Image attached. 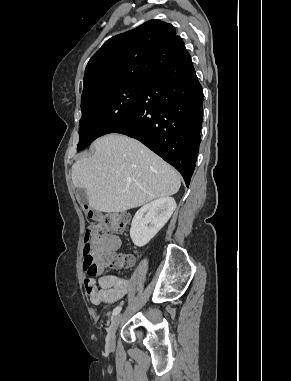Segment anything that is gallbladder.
Returning a JSON list of instances; mask_svg holds the SVG:
<instances>
[{
  "instance_id": "bac80fb5",
  "label": "gallbladder",
  "mask_w": 291,
  "mask_h": 381,
  "mask_svg": "<svg viewBox=\"0 0 291 381\" xmlns=\"http://www.w3.org/2000/svg\"><path fill=\"white\" fill-rule=\"evenodd\" d=\"M76 193L81 204L88 203V196L85 189L77 188Z\"/></svg>"
}]
</instances>
